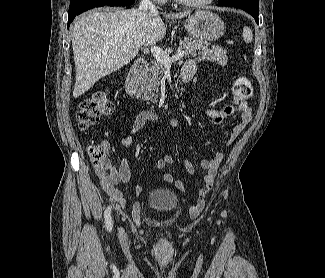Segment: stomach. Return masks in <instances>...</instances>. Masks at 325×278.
<instances>
[{
  "instance_id": "stomach-1",
  "label": "stomach",
  "mask_w": 325,
  "mask_h": 278,
  "mask_svg": "<svg viewBox=\"0 0 325 278\" xmlns=\"http://www.w3.org/2000/svg\"><path fill=\"white\" fill-rule=\"evenodd\" d=\"M183 24L191 37L202 42L216 41L225 31L224 22L207 10L195 11Z\"/></svg>"
}]
</instances>
